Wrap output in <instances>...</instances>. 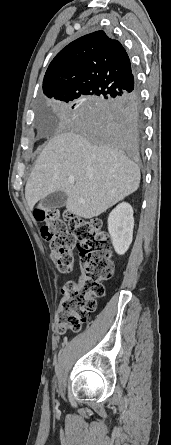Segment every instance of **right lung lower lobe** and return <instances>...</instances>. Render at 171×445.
<instances>
[{
	"label": "right lung lower lobe",
	"instance_id": "98d812e1",
	"mask_svg": "<svg viewBox=\"0 0 171 445\" xmlns=\"http://www.w3.org/2000/svg\"><path fill=\"white\" fill-rule=\"evenodd\" d=\"M141 109L137 89L124 97L104 96L93 111L91 123L97 140L123 151L130 158L139 157Z\"/></svg>",
	"mask_w": 171,
	"mask_h": 445
}]
</instances>
